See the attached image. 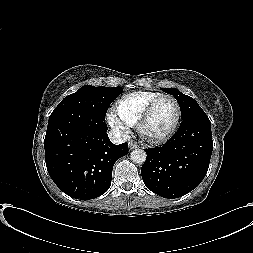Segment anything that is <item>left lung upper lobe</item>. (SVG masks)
<instances>
[{"instance_id":"1","label":"left lung upper lobe","mask_w":253,"mask_h":253,"mask_svg":"<svg viewBox=\"0 0 253 253\" xmlns=\"http://www.w3.org/2000/svg\"><path fill=\"white\" fill-rule=\"evenodd\" d=\"M162 91L173 95L176 98L180 106L182 120L192 116L205 115V112L192 97L187 96L174 88L162 89Z\"/></svg>"}]
</instances>
